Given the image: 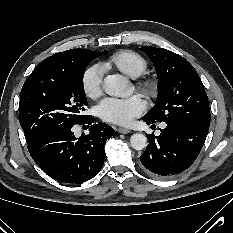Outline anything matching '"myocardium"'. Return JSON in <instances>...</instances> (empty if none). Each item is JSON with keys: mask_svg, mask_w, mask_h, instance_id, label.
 I'll return each instance as SVG.
<instances>
[{"mask_svg": "<svg viewBox=\"0 0 233 233\" xmlns=\"http://www.w3.org/2000/svg\"><path fill=\"white\" fill-rule=\"evenodd\" d=\"M138 89L147 97L152 98L157 93V84L149 78H142L137 83Z\"/></svg>", "mask_w": 233, "mask_h": 233, "instance_id": "obj_1", "label": "myocardium"}]
</instances>
